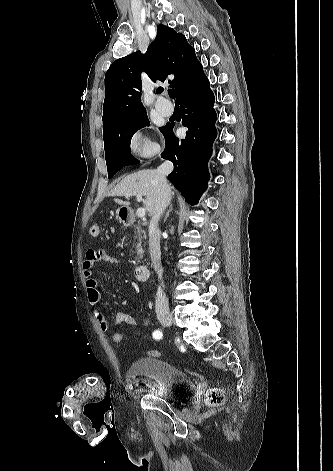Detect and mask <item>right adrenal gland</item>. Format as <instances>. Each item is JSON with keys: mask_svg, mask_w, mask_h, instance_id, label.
<instances>
[{"mask_svg": "<svg viewBox=\"0 0 333 471\" xmlns=\"http://www.w3.org/2000/svg\"><path fill=\"white\" fill-rule=\"evenodd\" d=\"M171 211H172V204L170 205L169 210H168V211L166 212V214H165V218H164L165 221H166L167 218L169 217V214H170Z\"/></svg>", "mask_w": 333, "mask_h": 471, "instance_id": "2a0ac1e0", "label": "right adrenal gland"}]
</instances>
